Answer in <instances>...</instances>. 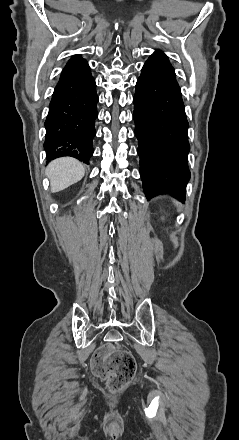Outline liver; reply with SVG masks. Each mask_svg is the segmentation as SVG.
I'll return each mask as SVG.
<instances>
[{"label":"liver","mask_w":239,"mask_h":440,"mask_svg":"<svg viewBox=\"0 0 239 440\" xmlns=\"http://www.w3.org/2000/svg\"><path fill=\"white\" fill-rule=\"evenodd\" d=\"M45 174L50 180L51 192H61L82 180L85 168L74 158H58L50 162Z\"/></svg>","instance_id":"obj_1"}]
</instances>
